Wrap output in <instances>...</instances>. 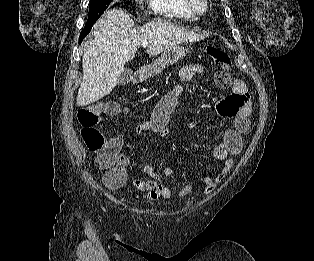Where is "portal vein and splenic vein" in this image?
Returning a JSON list of instances; mask_svg holds the SVG:
<instances>
[{"instance_id": "18ae733b", "label": "portal vein and splenic vein", "mask_w": 314, "mask_h": 261, "mask_svg": "<svg viewBox=\"0 0 314 261\" xmlns=\"http://www.w3.org/2000/svg\"><path fill=\"white\" fill-rule=\"evenodd\" d=\"M142 46L145 48V47L148 46V43H147V42H143V43H142Z\"/></svg>"}]
</instances>
